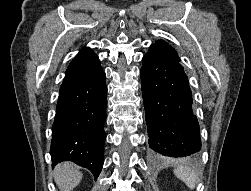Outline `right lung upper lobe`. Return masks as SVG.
I'll return each mask as SVG.
<instances>
[{
    "instance_id": "obj_1",
    "label": "right lung upper lobe",
    "mask_w": 251,
    "mask_h": 191,
    "mask_svg": "<svg viewBox=\"0 0 251 191\" xmlns=\"http://www.w3.org/2000/svg\"><path fill=\"white\" fill-rule=\"evenodd\" d=\"M102 73L98 56L90 48L85 47L68 66L60 90L86 82Z\"/></svg>"
}]
</instances>
